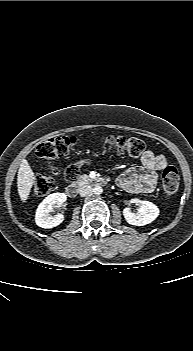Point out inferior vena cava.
<instances>
[{"instance_id": "602c4592", "label": "inferior vena cava", "mask_w": 193, "mask_h": 351, "mask_svg": "<svg viewBox=\"0 0 193 351\" xmlns=\"http://www.w3.org/2000/svg\"><path fill=\"white\" fill-rule=\"evenodd\" d=\"M78 191H79V194L81 196L85 197V196H88L89 194H91L92 188L90 185L84 184V185L79 187Z\"/></svg>"}]
</instances>
